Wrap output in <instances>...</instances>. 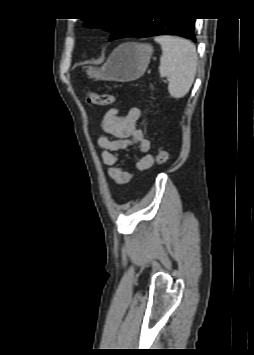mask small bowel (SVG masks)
<instances>
[{
	"label": "small bowel",
	"instance_id": "obj_1",
	"mask_svg": "<svg viewBox=\"0 0 254 355\" xmlns=\"http://www.w3.org/2000/svg\"><path fill=\"white\" fill-rule=\"evenodd\" d=\"M141 110L132 107L125 115H120L118 109L108 110L102 119L103 131L110 135L98 138V144L103 149V162L109 166L108 174L117 184H125L133 178V172L118 164V152L130 145H137L140 157L134 161V167L139 171L150 169L154 158L149 153L151 143L146 138L143 129L137 127Z\"/></svg>",
	"mask_w": 254,
	"mask_h": 355
}]
</instances>
